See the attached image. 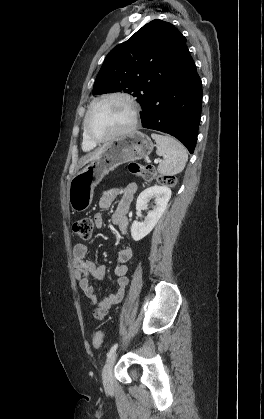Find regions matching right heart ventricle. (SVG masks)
Instances as JSON below:
<instances>
[{
  "instance_id": "right-heart-ventricle-1",
  "label": "right heart ventricle",
  "mask_w": 264,
  "mask_h": 419,
  "mask_svg": "<svg viewBox=\"0 0 264 419\" xmlns=\"http://www.w3.org/2000/svg\"><path fill=\"white\" fill-rule=\"evenodd\" d=\"M96 146V144L90 142L85 133H83V138H82V148L84 151H91L92 149H94Z\"/></svg>"
}]
</instances>
